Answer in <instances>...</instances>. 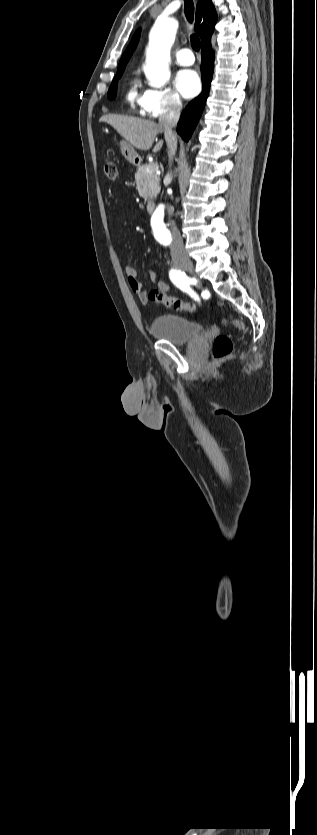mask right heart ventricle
Instances as JSON below:
<instances>
[{
  "mask_svg": "<svg viewBox=\"0 0 317 835\" xmlns=\"http://www.w3.org/2000/svg\"><path fill=\"white\" fill-rule=\"evenodd\" d=\"M142 97H143V93H141L139 91L138 80L136 78L131 79L130 82H129V85H128L127 93H126V99H127L128 103L131 106H134L135 104H138L140 106V102L142 100Z\"/></svg>",
  "mask_w": 317,
  "mask_h": 835,
  "instance_id": "obj_1",
  "label": "right heart ventricle"
}]
</instances>
